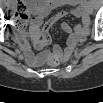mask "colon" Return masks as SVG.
Here are the masks:
<instances>
[{
  "label": "colon",
  "mask_w": 103,
  "mask_h": 103,
  "mask_svg": "<svg viewBox=\"0 0 103 103\" xmlns=\"http://www.w3.org/2000/svg\"><path fill=\"white\" fill-rule=\"evenodd\" d=\"M27 19H28V15L26 14L24 16V18H22V20H16V25L17 26H24L26 21H27ZM51 64L55 65V64H57V62L51 61Z\"/></svg>",
  "instance_id": "5ec220e1"
}]
</instances>
